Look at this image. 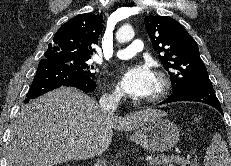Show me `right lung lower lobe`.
<instances>
[{
    "label": "right lung lower lobe",
    "mask_w": 231,
    "mask_h": 166,
    "mask_svg": "<svg viewBox=\"0 0 231 166\" xmlns=\"http://www.w3.org/2000/svg\"><path fill=\"white\" fill-rule=\"evenodd\" d=\"M61 86H73L86 93L96 89L94 77L83 74L69 65L42 59L24 103Z\"/></svg>",
    "instance_id": "obj_1"
}]
</instances>
